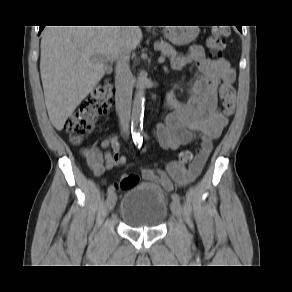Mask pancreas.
Listing matches in <instances>:
<instances>
[{
	"mask_svg": "<svg viewBox=\"0 0 292 292\" xmlns=\"http://www.w3.org/2000/svg\"><path fill=\"white\" fill-rule=\"evenodd\" d=\"M154 48L156 50L161 51L163 56H168L171 57L172 59H176L178 57L176 50L165 41L156 42L154 44Z\"/></svg>",
	"mask_w": 292,
	"mask_h": 292,
	"instance_id": "pancreas-1",
	"label": "pancreas"
}]
</instances>
